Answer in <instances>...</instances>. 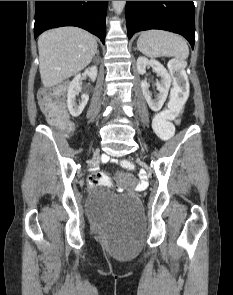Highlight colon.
I'll return each mask as SVG.
<instances>
[{
	"label": "colon",
	"instance_id": "1",
	"mask_svg": "<svg viewBox=\"0 0 233 295\" xmlns=\"http://www.w3.org/2000/svg\"><path fill=\"white\" fill-rule=\"evenodd\" d=\"M173 78V88L168 107L160 111L154 118L153 127L157 135L163 140H170L174 136L175 128L173 120L179 115L183 105L189 96V81L185 72L184 63L178 59H173L169 64ZM67 89V84H59L40 94V106L50 123L60 129L64 134H69L73 130V122L64 106L62 97ZM123 168L134 170L135 165L127 160L120 161ZM90 188L105 186L110 188V179L102 172H92L88 177Z\"/></svg>",
	"mask_w": 233,
	"mask_h": 295
}]
</instances>
